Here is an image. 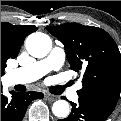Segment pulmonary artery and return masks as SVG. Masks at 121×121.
Instances as JSON below:
<instances>
[{
	"label": "pulmonary artery",
	"instance_id": "e3ab8cb5",
	"mask_svg": "<svg viewBox=\"0 0 121 121\" xmlns=\"http://www.w3.org/2000/svg\"><path fill=\"white\" fill-rule=\"evenodd\" d=\"M65 61V51L62 47L56 46L52 52L44 59L32 62L19 69L12 70L8 73L7 78L10 84L31 83L45 76L51 71H58L62 68ZM81 84H77L75 89L71 91L70 98L75 100L77 94L75 90L81 88Z\"/></svg>",
	"mask_w": 121,
	"mask_h": 121
}]
</instances>
